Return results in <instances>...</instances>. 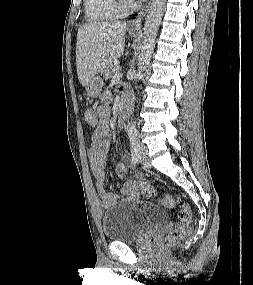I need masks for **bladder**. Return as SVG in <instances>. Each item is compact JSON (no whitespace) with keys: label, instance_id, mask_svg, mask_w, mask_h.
<instances>
[{"label":"bladder","instance_id":"bladder-1","mask_svg":"<svg viewBox=\"0 0 253 285\" xmlns=\"http://www.w3.org/2000/svg\"><path fill=\"white\" fill-rule=\"evenodd\" d=\"M167 219V212L156 205L119 201L103 213L102 232L109 241L130 243L161 226Z\"/></svg>","mask_w":253,"mask_h":285}]
</instances>
